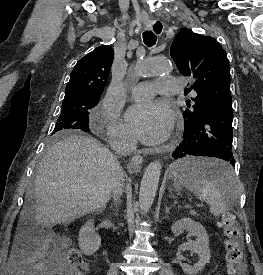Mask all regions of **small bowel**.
Segmentation results:
<instances>
[{
  "label": "small bowel",
  "instance_id": "1",
  "mask_svg": "<svg viewBox=\"0 0 263 275\" xmlns=\"http://www.w3.org/2000/svg\"><path fill=\"white\" fill-rule=\"evenodd\" d=\"M21 264L25 275H67L62 248L55 244L52 236H47L31 252L23 256ZM72 275H83V272Z\"/></svg>",
  "mask_w": 263,
  "mask_h": 275
}]
</instances>
